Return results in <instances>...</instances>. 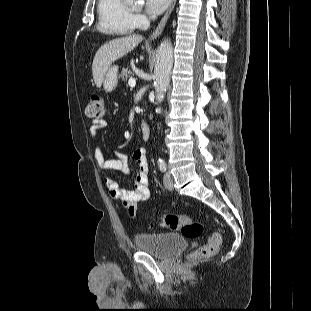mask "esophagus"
Listing matches in <instances>:
<instances>
[{
    "mask_svg": "<svg viewBox=\"0 0 311 311\" xmlns=\"http://www.w3.org/2000/svg\"><path fill=\"white\" fill-rule=\"evenodd\" d=\"M176 4V0H172L170 6L168 7L166 13L164 14L163 18L161 19L159 25L157 26V28L153 31V33L150 35L149 39L150 40H154L156 39L163 31L166 22L171 14V12L173 11L174 7Z\"/></svg>",
    "mask_w": 311,
    "mask_h": 311,
    "instance_id": "34e87169",
    "label": "esophagus"
}]
</instances>
